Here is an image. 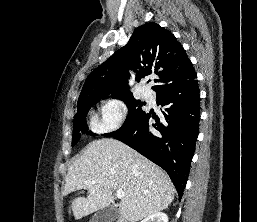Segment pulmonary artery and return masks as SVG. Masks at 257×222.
Returning <instances> with one entry per match:
<instances>
[{
    "label": "pulmonary artery",
    "instance_id": "obj_1",
    "mask_svg": "<svg viewBox=\"0 0 257 222\" xmlns=\"http://www.w3.org/2000/svg\"><path fill=\"white\" fill-rule=\"evenodd\" d=\"M142 96L143 98L150 100L152 98V92L150 90H144Z\"/></svg>",
    "mask_w": 257,
    "mask_h": 222
}]
</instances>
